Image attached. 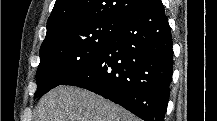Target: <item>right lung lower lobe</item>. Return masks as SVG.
Listing matches in <instances>:
<instances>
[{
	"mask_svg": "<svg viewBox=\"0 0 217 121\" xmlns=\"http://www.w3.org/2000/svg\"><path fill=\"white\" fill-rule=\"evenodd\" d=\"M161 0L129 16L99 57L61 85L88 89L145 121H164L173 48Z\"/></svg>",
	"mask_w": 217,
	"mask_h": 121,
	"instance_id": "98d812e1",
	"label": "right lung lower lobe"
}]
</instances>
